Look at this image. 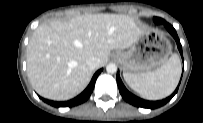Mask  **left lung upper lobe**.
Masks as SVG:
<instances>
[{
    "mask_svg": "<svg viewBox=\"0 0 203 123\" xmlns=\"http://www.w3.org/2000/svg\"><path fill=\"white\" fill-rule=\"evenodd\" d=\"M159 19H161V18H157V17H154V18H153L154 22H155V23H158V24L161 23V21H160Z\"/></svg>",
    "mask_w": 203,
    "mask_h": 123,
    "instance_id": "5c2ea615",
    "label": "left lung upper lobe"
}]
</instances>
